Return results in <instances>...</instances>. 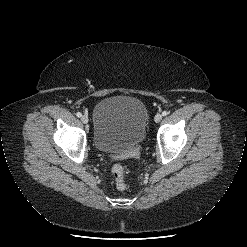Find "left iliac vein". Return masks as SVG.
<instances>
[{"instance_id":"4c4485c4","label":"left iliac vein","mask_w":247,"mask_h":247,"mask_svg":"<svg viewBox=\"0 0 247 247\" xmlns=\"http://www.w3.org/2000/svg\"><path fill=\"white\" fill-rule=\"evenodd\" d=\"M155 122H160L162 120V115L161 114H156L154 118Z\"/></svg>"}]
</instances>
